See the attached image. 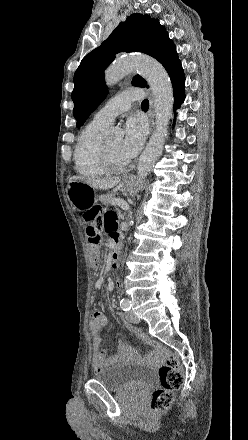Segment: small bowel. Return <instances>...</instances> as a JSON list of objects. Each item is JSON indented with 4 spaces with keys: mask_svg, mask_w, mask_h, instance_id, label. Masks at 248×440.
I'll return each mask as SVG.
<instances>
[{
    "mask_svg": "<svg viewBox=\"0 0 248 440\" xmlns=\"http://www.w3.org/2000/svg\"><path fill=\"white\" fill-rule=\"evenodd\" d=\"M105 227L106 229L111 233V236L117 235L115 232V225H116V216L114 214H108L105 217ZM113 284L111 282L108 283V290H113ZM123 323L130 329L134 331H139L136 328L131 327L124 319L122 320ZM107 320L105 315L99 311L96 310L93 312L90 320H89V331L93 339V356H92V366L95 371H100L106 366L115 364L121 360L125 359H140V354L131 346L124 342H120L119 344V353L105 356L103 350L101 349V336L100 333L102 329L106 326ZM152 355L147 354L145 356V359H151Z\"/></svg>",
    "mask_w": 248,
    "mask_h": 440,
    "instance_id": "c3829d8e",
    "label": "small bowel"
}]
</instances>
